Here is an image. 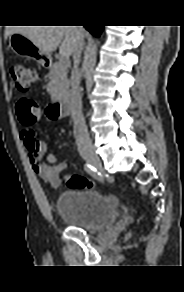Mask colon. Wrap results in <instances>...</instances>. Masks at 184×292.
Returning <instances> with one entry per match:
<instances>
[{
	"label": "colon",
	"mask_w": 184,
	"mask_h": 292,
	"mask_svg": "<svg viewBox=\"0 0 184 292\" xmlns=\"http://www.w3.org/2000/svg\"><path fill=\"white\" fill-rule=\"evenodd\" d=\"M10 74L16 87L21 92H27L36 78L35 69L23 62L14 61L10 65ZM16 113L20 123L24 126H32L40 119V111L34 100L28 97L21 98L16 105ZM69 188H93L94 183L79 174H70L66 177Z\"/></svg>",
	"instance_id": "5ec220e1"
}]
</instances>
